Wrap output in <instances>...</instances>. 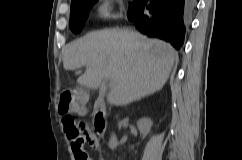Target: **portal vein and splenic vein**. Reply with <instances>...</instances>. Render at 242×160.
Segmentation results:
<instances>
[{
	"mask_svg": "<svg viewBox=\"0 0 242 160\" xmlns=\"http://www.w3.org/2000/svg\"><path fill=\"white\" fill-rule=\"evenodd\" d=\"M108 80H109V87H113L114 86L113 80L110 77H108Z\"/></svg>",
	"mask_w": 242,
	"mask_h": 160,
	"instance_id": "obj_1",
	"label": "portal vein and splenic vein"
}]
</instances>
